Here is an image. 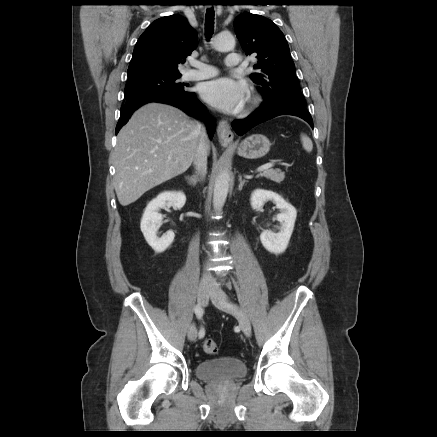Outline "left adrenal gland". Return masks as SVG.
<instances>
[{"label":"left adrenal gland","instance_id":"1","mask_svg":"<svg viewBox=\"0 0 437 437\" xmlns=\"http://www.w3.org/2000/svg\"><path fill=\"white\" fill-rule=\"evenodd\" d=\"M239 182H240V183H239L238 189L241 191L242 188H243L244 183L247 182V180L242 179V176L239 175Z\"/></svg>","mask_w":437,"mask_h":437}]
</instances>
